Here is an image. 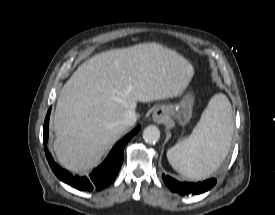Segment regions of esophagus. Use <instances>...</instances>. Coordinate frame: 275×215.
Segmentation results:
<instances>
[{
  "label": "esophagus",
  "mask_w": 275,
  "mask_h": 215,
  "mask_svg": "<svg viewBox=\"0 0 275 215\" xmlns=\"http://www.w3.org/2000/svg\"><path fill=\"white\" fill-rule=\"evenodd\" d=\"M152 118L156 123H164L168 119V112L164 107H158L153 112Z\"/></svg>",
  "instance_id": "obj_1"
}]
</instances>
